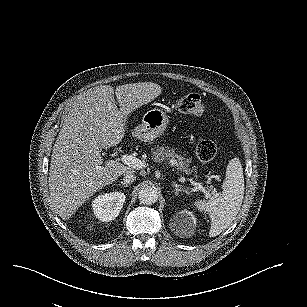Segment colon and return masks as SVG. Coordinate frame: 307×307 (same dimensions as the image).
Returning a JSON list of instances; mask_svg holds the SVG:
<instances>
[{"mask_svg":"<svg viewBox=\"0 0 307 307\" xmlns=\"http://www.w3.org/2000/svg\"><path fill=\"white\" fill-rule=\"evenodd\" d=\"M177 108L182 113L200 116L204 112L205 105L200 95L186 93L177 100ZM216 152V144L210 140L200 141L196 146V156L203 163L213 160Z\"/></svg>","mask_w":307,"mask_h":307,"instance_id":"obj_1","label":"colon"}]
</instances>
